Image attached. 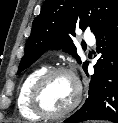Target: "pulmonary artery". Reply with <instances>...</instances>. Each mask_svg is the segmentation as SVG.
Masks as SVG:
<instances>
[{
    "instance_id": "pulmonary-artery-1",
    "label": "pulmonary artery",
    "mask_w": 118,
    "mask_h": 123,
    "mask_svg": "<svg viewBox=\"0 0 118 123\" xmlns=\"http://www.w3.org/2000/svg\"><path fill=\"white\" fill-rule=\"evenodd\" d=\"M85 40L90 44L93 45L95 43L94 37L91 34L85 35Z\"/></svg>"
}]
</instances>
